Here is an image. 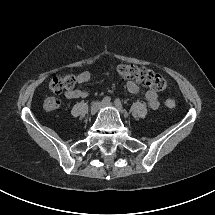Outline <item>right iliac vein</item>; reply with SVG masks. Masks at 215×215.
I'll return each mask as SVG.
<instances>
[{
  "mask_svg": "<svg viewBox=\"0 0 215 215\" xmlns=\"http://www.w3.org/2000/svg\"><path fill=\"white\" fill-rule=\"evenodd\" d=\"M101 108V103L99 101H95L91 104L90 114L95 115L98 110Z\"/></svg>",
  "mask_w": 215,
  "mask_h": 215,
  "instance_id": "obj_1",
  "label": "right iliac vein"
}]
</instances>
